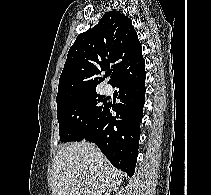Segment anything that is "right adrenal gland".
Returning <instances> with one entry per match:
<instances>
[{
  "mask_svg": "<svg viewBox=\"0 0 211 195\" xmlns=\"http://www.w3.org/2000/svg\"><path fill=\"white\" fill-rule=\"evenodd\" d=\"M118 188L108 189L104 195H111L112 192L116 191Z\"/></svg>",
  "mask_w": 211,
  "mask_h": 195,
  "instance_id": "obj_1",
  "label": "right adrenal gland"
}]
</instances>
